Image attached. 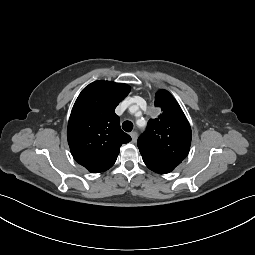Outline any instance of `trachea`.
I'll return each instance as SVG.
<instances>
[{
    "mask_svg": "<svg viewBox=\"0 0 255 255\" xmlns=\"http://www.w3.org/2000/svg\"><path fill=\"white\" fill-rule=\"evenodd\" d=\"M122 128L126 132H131L133 129V123L131 121H124L122 124Z\"/></svg>",
    "mask_w": 255,
    "mask_h": 255,
    "instance_id": "1",
    "label": "trachea"
}]
</instances>
